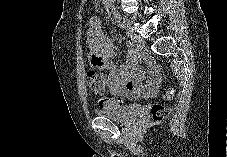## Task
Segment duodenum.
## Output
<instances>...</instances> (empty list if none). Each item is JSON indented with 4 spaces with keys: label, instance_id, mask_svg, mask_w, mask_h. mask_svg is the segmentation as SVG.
<instances>
[{
    "label": "duodenum",
    "instance_id": "duodenum-1",
    "mask_svg": "<svg viewBox=\"0 0 227 157\" xmlns=\"http://www.w3.org/2000/svg\"><path fill=\"white\" fill-rule=\"evenodd\" d=\"M111 13H112V16H113L114 20L118 21L119 20V15H118V13H117L115 8H113V7L111 8Z\"/></svg>",
    "mask_w": 227,
    "mask_h": 157
}]
</instances>
